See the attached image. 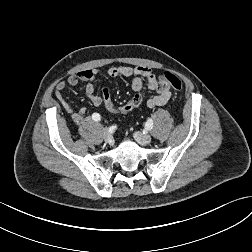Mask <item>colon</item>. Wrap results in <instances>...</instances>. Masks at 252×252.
Returning <instances> with one entry per match:
<instances>
[{
	"mask_svg": "<svg viewBox=\"0 0 252 252\" xmlns=\"http://www.w3.org/2000/svg\"><path fill=\"white\" fill-rule=\"evenodd\" d=\"M157 76L159 79L165 80L174 90H180L182 88L180 78L170 72L159 73ZM100 98L101 106H103L108 112L121 115L130 114L136 110L142 102V96L136 93L129 100L117 103L113 100L107 88L101 89Z\"/></svg>",
	"mask_w": 252,
	"mask_h": 252,
	"instance_id": "colon-1",
	"label": "colon"
}]
</instances>
